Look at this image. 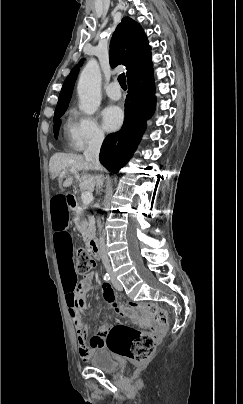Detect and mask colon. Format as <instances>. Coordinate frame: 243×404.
Here are the masks:
<instances>
[{"label":"colon","mask_w":243,"mask_h":404,"mask_svg":"<svg viewBox=\"0 0 243 404\" xmlns=\"http://www.w3.org/2000/svg\"><path fill=\"white\" fill-rule=\"evenodd\" d=\"M78 271L89 273L96 265L94 259L84 249L77 252ZM132 306L145 309L155 318L158 328L143 332L125 324L113 326L107 336V348L122 357L136 362H143L154 353L160 331L167 326V313L155 304L132 302Z\"/></svg>","instance_id":"obj_1"}]
</instances>
